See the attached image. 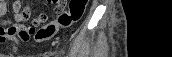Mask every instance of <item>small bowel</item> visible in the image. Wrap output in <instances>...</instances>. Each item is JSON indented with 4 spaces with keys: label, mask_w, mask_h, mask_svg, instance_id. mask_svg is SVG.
Listing matches in <instances>:
<instances>
[{
    "label": "small bowel",
    "mask_w": 172,
    "mask_h": 57,
    "mask_svg": "<svg viewBox=\"0 0 172 57\" xmlns=\"http://www.w3.org/2000/svg\"><path fill=\"white\" fill-rule=\"evenodd\" d=\"M25 8L29 9L27 14H23ZM60 9L61 5H57L56 10ZM8 13V3L5 0H0V45H19L28 42L31 38L36 42L47 40L39 37L45 27L42 24L47 21L46 14H39L30 24H26L31 17V10L29 7H23V1L21 0H15L12 3L11 18L6 17Z\"/></svg>",
    "instance_id": "obj_1"
}]
</instances>
